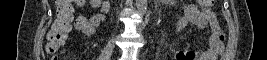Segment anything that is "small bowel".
Listing matches in <instances>:
<instances>
[{
	"instance_id": "1",
	"label": "small bowel",
	"mask_w": 267,
	"mask_h": 60,
	"mask_svg": "<svg viewBox=\"0 0 267 60\" xmlns=\"http://www.w3.org/2000/svg\"><path fill=\"white\" fill-rule=\"evenodd\" d=\"M105 9V7H104ZM104 20L100 13L90 17L79 16L76 21V27L86 36H92L96 28ZM188 24H194L198 27H209L210 32L207 35L209 43L208 48L200 51L179 52L171 49L174 59L178 60H215L222 53L225 33L222 30L216 15L210 9H199L194 4H187L183 16L175 24V31H180Z\"/></svg>"
}]
</instances>
